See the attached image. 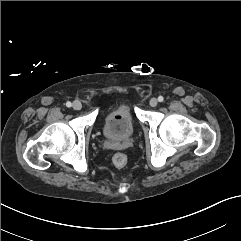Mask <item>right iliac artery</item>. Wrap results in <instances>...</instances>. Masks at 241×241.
<instances>
[{"label": "right iliac artery", "mask_w": 241, "mask_h": 241, "mask_svg": "<svg viewBox=\"0 0 241 241\" xmlns=\"http://www.w3.org/2000/svg\"><path fill=\"white\" fill-rule=\"evenodd\" d=\"M66 106L67 107H71L72 106V103L70 101L66 102Z\"/></svg>", "instance_id": "1"}]
</instances>
